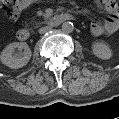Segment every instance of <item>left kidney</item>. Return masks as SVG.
I'll list each match as a JSON object with an SVG mask.
<instances>
[{
    "instance_id": "1",
    "label": "left kidney",
    "mask_w": 119,
    "mask_h": 119,
    "mask_svg": "<svg viewBox=\"0 0 119 119\" xmlns=\"http://www.w3.org/2000/svg\"><path fill=\"white\" fill-rule=\"evenodd\" d=\"M92 52L95 56L103 60H108L113 55L109 44L105 41H94L92 43Z\"/></svg>"
}]
</instances>
